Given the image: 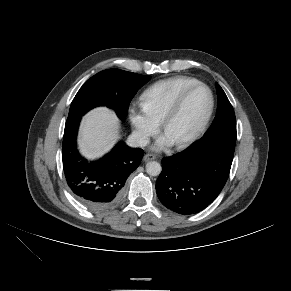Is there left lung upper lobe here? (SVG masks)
Returning <instances> with one entry per match:
<instances>
[{
	"mask_svg": "<svg viewBox=\"0 0 291 291\" xmlns=\"http://www.w3.org/2000/svg\"><path fill=\"white\" fill-rule=\"evenodd\" d=\"M216 92L218 96L216 117L204 137H209L222 132L236 134V118L233 107L218 83H216Z\"/></svg>",
	"mask_w": 291,
	"mask_h": 291,
	"instance_id": "left-lung-upper-lobe-1",
	"label": "left lung upper lobe"
}]
</instances>
